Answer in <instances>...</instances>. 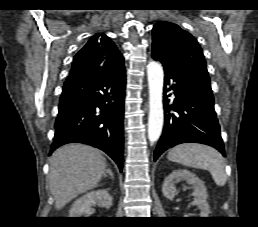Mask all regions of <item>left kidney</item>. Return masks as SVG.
Instances as JSON below:
<instances>
[{"label": "left kidney", "instance_id": "obj_1", "mask_svg": "<svg viewBox=\"0 0 258 227\" xmlns=\"http://www.w3.org/2000/svg\"><path fill=\"white\" fill-rule=\"evenodd\" d=\"M181 180H184L193 186L194 191L192 192V195L194 196V201L192 202V205L197 206L200 210L199 217H208L211 210L209 204L207 203L208 194L204 182L188 170H173L165 178L162 187L164 196L172 200L176 194L174 183ZM185 217L192 216L186 215Z\"/></svg>", "mask_w": 258, "mask_h": 227}]
</instances>
